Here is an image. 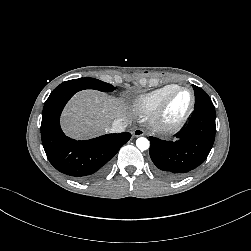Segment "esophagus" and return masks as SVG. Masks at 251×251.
<instances>
[{
  "instance_id": "esophagus-1",
  "label": "esophagus",
  "mask_w": 251,
  "mask_h": 251,
  "mask_svg": "<svg viewBox=\"0 0 251 251\" xmlns=\"http://www.w3.org/2000/svg\"><path fill=\"white\" fill-rule=\"evenodd\" d=\"M132 134L134 137H140V136H143L145 134V132L141 128H136L133 130Z\"/></svg>"
}]
</instances>
